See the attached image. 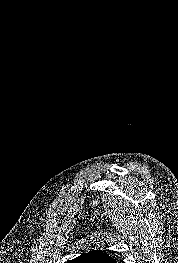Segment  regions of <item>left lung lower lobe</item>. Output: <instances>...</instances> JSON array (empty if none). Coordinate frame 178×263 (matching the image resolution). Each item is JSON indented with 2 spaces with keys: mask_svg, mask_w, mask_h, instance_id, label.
Returning <instances> with one entry per match:
<instances>
[{
  "mask_svg": "<svg viewBox=\"0 0 178 263\" xmlns=\"http://www.w3.org/2000/svg\"><path fill=\"white\" fill-rule=\"evenodd\" d=\"M111 263H116V260H113Z\"/></svg>",
  "mask_w": 178,
  "mask_h": 263,
  "instance_id": "obj_1",
  "label": "left lung lower lobe"
}]
</instances>
